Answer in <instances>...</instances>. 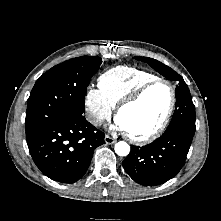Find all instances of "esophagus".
Segmentation results:
<instances>
[{"label":"esophagus","mask_w":221,"mask_h":221,"mask_svg":"<svg viewBox=\"0 0 221 221\" xmlns=\"http://www.w3.org/2000/svg\"><path fill=\"white\" fill-rule=\"evenodd\" d=\"M104 141L106 144H114L116 142V140L108 135L105 136Z\"/></svg>","instance_id":"esophagus-1"}]
</instances>
